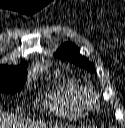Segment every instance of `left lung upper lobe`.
Instances as JSON below:
<instances>
[{"label":"left lung upper lobe","instance_id":"5c2ea615","mask_svg":"<svg viewBox=\"0 0 125 128\" xmlns=\"http://www.w3.org/2000/svg\"><path fill=\"white\" fill-rule=\"evenodd\" d=\"M56 57H60L64 60H68L75 65L80 67H84L86 70L90 72H95V67L92 63L88 61L87 58L83 57L79 54V48L76 47L72 43H64L62 44L56 53L54 54Z\"/></svg>","mask_w":125,"mask_h":128}]
</instances>
